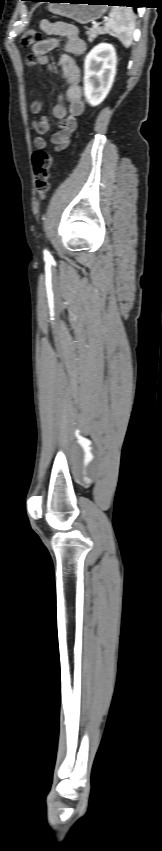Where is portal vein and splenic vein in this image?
Returning <instances> with one entry per match:
<instances>
[{
  "label": "portal vein and splenic vein",
  "mask_w": 162,
  "mask_h": 851,
  "mask_svg": "<svg viewBox=\"0 0 162 851\" xmlns=\"http://www.w3.org/2000/svg\"><path fill=\"white\" fill-rule=\"evenodd\" d=\"M98 25H99V23H95V24L93 25V27H94V28H96V27H98Z\"/></svg>",
  "instance_id": "18ae733b"
}]
</instances>
